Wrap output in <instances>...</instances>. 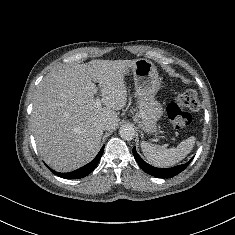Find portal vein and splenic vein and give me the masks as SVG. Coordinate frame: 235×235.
Masks as SVG:
<instances>
[{"label": "portal vein and splenic vein", "instance_id": "portal-vein-and-splenic-vein-1", "mask_svg": "<svg viewBox=\"0 0 235 235\" xmlns=\"http://www.w3.org/2000/svg\"><path fill=\"white\" fill-rule=\"evenodd\" d=\"M95 92H97V88H95ZM95 107L100 108L101 107V100L99 97H97L96 102H95Z\"/></svg>", "mask_w": 235, "mask_h": 235}]
</instances>
